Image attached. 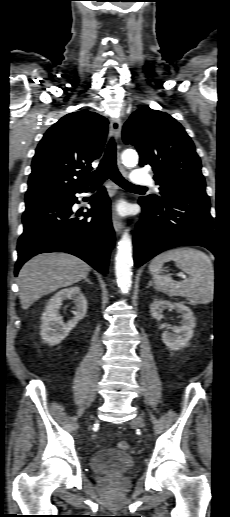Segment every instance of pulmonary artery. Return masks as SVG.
<instances>
[{
    "label": "pulmonary artery",
    "instance_id": "e3ab8cb5",
    "mask_svg": "<svg viewBox=\"0 0 230 517\" xmlns=\"http://www.w3.org/2000/svg\"><path fill=\"white\" fill-rule=\"evenodd\" d=\"M131 184L133 185H148L153 184V179L150 174H148L143 169H135L131 173Z\"/></svg>",
    "mask_w": 230,
    "mask_h": 517
}]
</instances>
